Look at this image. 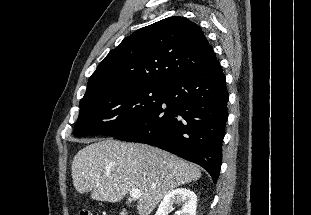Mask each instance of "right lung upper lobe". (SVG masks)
I'll use <instances>...</instances> for the list:
<instances>
[{
  "instance_id": "1",
  "label": "right lung upper lobe",
  "mask_w": 311,
  "mask_h": 215,
  "mask_svg": "<svg viewBox=\"0 0 311 215\" xmlns=\"http://www.w3.org/2000/svg\"><path fill=\"white\" fill-rule=\"evenodd\" d=\"M217 61L201 28L174 16L135 31L109 52L89 78L83 98L131 87L164 86Z\"/></svg>"
}]
</instances>
